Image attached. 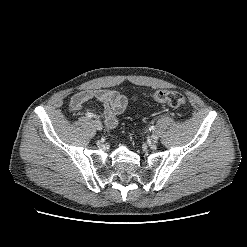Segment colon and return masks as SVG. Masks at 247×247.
I'll return each instance as SVG.
<instances>
[{
	"mask_svg": "<svg viewBox=\"0 0 247 247\" xmlns=\"http://www.w3.org/2000/svg\"><path fill=\"white\" fill-rule=\"evenodd\" d=\"M152 99L173 108H182L186 105L184 96L181 93L172 90H158L153 93Z\"/></svg>",
	"mask_w": 247,
	"mask_h": 247,
	"instance_id": "1",
	"label": "colon"
}]
</instances>
